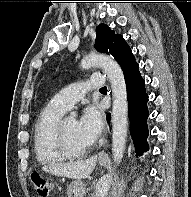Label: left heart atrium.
Here are the masks:
<instances>
[{
    "label": "left heart atrium",
    "instance_id": "left-heart-atrium-1",
    "mask_svg": "<svg viewBox=\"0 0 191 197\" xmlns=\"http://www.w3.org/2000/svg\"><path fill=\"white\" fill-rule=\"evenodd\" d=\"M77 128L80 137L87 143H94L99 137L103 128V116L96 105L85 108L81 118L77 121Z\"/></svg>",
    "mask_w": 191,
    "mask_h": 197
}]
</instances>
